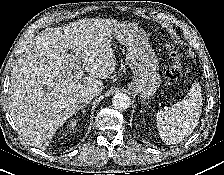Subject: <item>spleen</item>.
I'll return each instance as SVG.
<instances>
[{"instance_id": "1", "label": "spleen", "mask_w": 224, "mask_h": 175, "mask_svg": "<svg viewBox=\"0 0 224 175\" xmlns=\"http://www.w3.org/2000/svg\"><path fill=\"white\" fill-rule=\"evenodd\" d=\"M202 105L201 86L195 82L182 101L173 104L169 110L157 112V127L164 143L176 144L189 136L199 122Z\"/></svg>"}]
</instances>
